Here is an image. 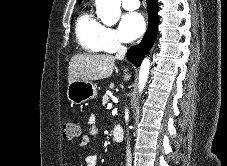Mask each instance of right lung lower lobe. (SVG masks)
Masks as SVG:
<instances>
[{
  "instance_id": "right-lung-lower-lobe-1",
  "label": "right lung lower lobe",
  "mask_w": 227,
  "mask_h": 166,
  "mask_svg": "<svg viewBox=\"0 0 227 166\" xmlns=\"http://www.w3.org/2000/svg\"><path fill=\"white\" fill-rule=\"evenodd\" d=\"M148 5V30L142 39L141 43L133 46L128 52L127 57L137 67L140 66L144 55L149 51L153 45L159 23L158 17V3L157 0H147Z\"/></svg>"
}]
</instances>
